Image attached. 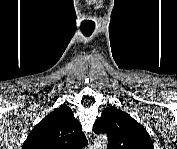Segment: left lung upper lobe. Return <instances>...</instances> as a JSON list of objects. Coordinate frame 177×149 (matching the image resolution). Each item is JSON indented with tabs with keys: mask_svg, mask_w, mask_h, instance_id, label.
<instances>
[{
	"mask_svg": "<svg viewBox=\"0 0 177 149\" xmlns=\"http://www.w3.org/2000/svg\"><path fill=\"white\" fill-rule=\"evenodd\" d=\"M93 128L96 134H107L109 149H154L146 129L114 106L104 109Z\"/></svg>",
	"mask_w": 177,
	"mask_h": 149,
	"instance_id": "left-lung-upper-lobe-1",
	"label": "left lung upper lobe"
}]
</instances>
